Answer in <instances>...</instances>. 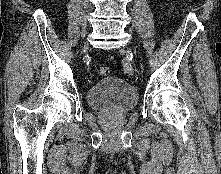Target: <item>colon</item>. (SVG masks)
Returning a JSON list of instances; mask_svg holds the SVG:
<instances>
[{"instance_id":"1","label":"colon","mask_w":221,"mask_h":174,"mask_svg":"<svg viewBox=\"0 0 221 174\" xmlns=\"http://www.w3.org/2000/svg\"><path fill=\"white\" fill-rule=\"evenodd\" d=\"M99 75L101 76H109L110 75V69L108 67H100L98 70Z\"/></svg>"}]
</instances>
